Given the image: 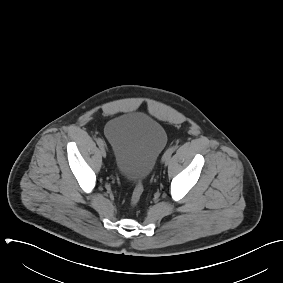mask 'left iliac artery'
<instances>
[{
    "label": "left iliac artery",
    "mask_w": 283,
    "mask_h": 283,
    "mask_svg": "<svg viewBox=\"0 0 283 283\" xmlns=\"http://www.w3.org/2000/svg\"><path fill=\"white\" fill-rule=\"evenodd\" d=\"M176 150V146H172L170 147L163 155L162 160H170L171 155L173 154V152Z\"/></svg>",
    "instance_id": "44dca946"
}]
</instances>
